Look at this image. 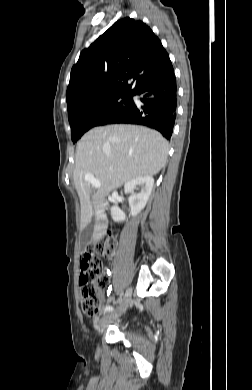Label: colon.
I'll return each instance as SVG.
<instances>
[{
  "label": "colon",
  "mask_w": 252,
  "mask_h": 390,
  "mask_svg": "<svg viewBox=\"0 0 252 390\" xmlns=\"http://www.w3.org/2000/svg\"><path fill=\"white\" fill-rule=\"evenodd\" d=\"M116 247V238L108 234L87 246L80 260L79 285L82 294V310L92 318L102 313L100 288L105 285L101 259L111 256Z\"/></svg>",
  "instance_id": "1"
}]
</instances>
